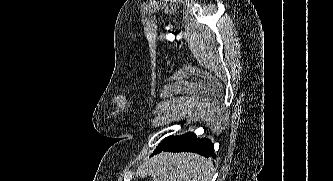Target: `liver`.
<instances>
[{
    "label": "liver",
    "instance_id": "obj_1",
    "mask_svg": "<svg viewBox=\"0 0 333 181\" xmlns=\"http://www.w3.org/2000/svg\"><path fill=\"white\" fill-rule=\"evenodd\" d=\"M151 181H210L212 162L195 153H165L151 158L147 163Z\"/></svg>",
    "mask_w": 333,
    "mask_h": 181
}]
</instances>
